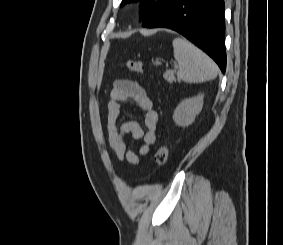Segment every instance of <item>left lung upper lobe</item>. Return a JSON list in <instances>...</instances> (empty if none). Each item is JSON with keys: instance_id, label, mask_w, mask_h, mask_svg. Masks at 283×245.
Masks as SVG:
<instances>
[{"instance_id": "obj_1", "label": "left lung upper lobe", "mask_w": 283, "mask_h": 245, "mask_svg": "<svg viewBox=\"0 0 283 245\" xmlns=\"http://www.w3.org/2000/svg\"><path fill=\"white\" fill-rule=\"evenodd\" d=\"M137 0H123L121 6L127 2ZM173 0H140L142 26L145 27L159 16Z\"/></svg>"}]
</instances>
